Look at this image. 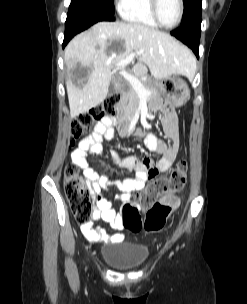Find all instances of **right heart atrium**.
I'll return each mask as SVG.
<instances>
[{
  "label": "right heart atrium",
  "mask_w": 247,
  "mask_h": 304,
  "mask_svg": "<svg viewBox=\"0 0 247 304\" xmlns=\"http://www.w3.org/2000/svg\"><path fill=\"white\" fill-rule=\"evenodd\" d=\"M115 1L121 7L125 0H115Z\"/></svg>",
  "instance_id": "obj_1"
}]
</instances>
